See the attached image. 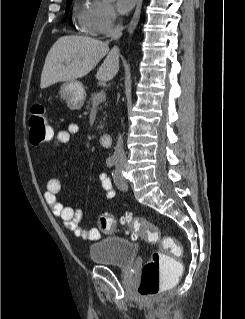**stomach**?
<instances>
[{"instance_id":"stomach-1","label":"stomach","mask_w":245,"mask_h":319,"mask_svg":"<svg viewBox=\"0 0 245 319\" xmlns=\"http://www.w3.org/2000/svg\"><path fill=\"white\" fill-rule=\"evenodd\" d=\"M59 94L70 110H79L85 101V89L80 81H67L59 89Z\"/></svg>"}]
</instances>
